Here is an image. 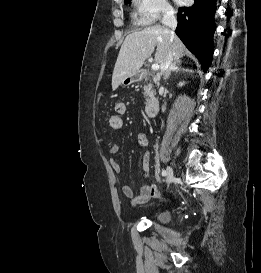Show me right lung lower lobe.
<instances>
[{
  "instance_id": "obj_1",
  "label": "right lung lower lobe",
  "mask_w": 261,
  "mask_h": 273,
  "mask_svg": "<svg viewBox=\"0 0 261 273\" xmlns=\"http://www.w3.org/2000/svg\"><path fill=\"white\" fill-rule=\"evenodd\" d=\"M191 7L179 8L176 34L199 59L206 72L212 61L216 0H194Z\"/></svg>"
}]
</instances>
